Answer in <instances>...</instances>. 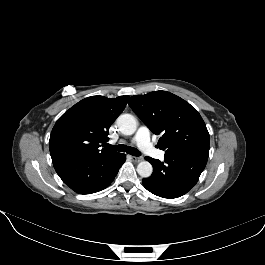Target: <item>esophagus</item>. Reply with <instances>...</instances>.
Wrapping results in <instances>:
<instances>
[{"label": "esophagus", "instance_id": "obj_1", "mask_svg": "<svg viewBox=\"0 0 265 265\" xmlns=\"http://www.w3.org/2000/svg\"><path fill=\"white\" fill-rule=\"evenodd\" d=\"M132 159L135 161V162H140L143 160L142 157H136V156H133Z\"/></svg>", "mask_w": 265, "mask_h": 265}]
</instances>
